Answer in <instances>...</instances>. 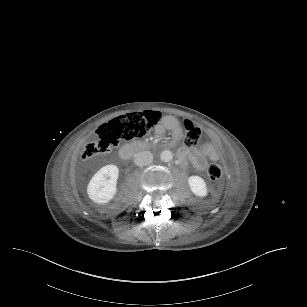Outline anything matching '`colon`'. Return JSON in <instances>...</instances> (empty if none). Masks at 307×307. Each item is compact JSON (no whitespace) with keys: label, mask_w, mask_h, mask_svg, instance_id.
<instances>
[{"label":"colon","mask_w":307,"mask_h":307,"mask_svg":"<svg viewBox=\"0 0 307 307\" xmlns=\"http://www.w3.org/2000/svg\"><path fill=\"white\" fill-rule=\"evenodd\" d=\"M162 114L158 111L131 113L116 117L102 124L97 132V139L90 141L83 149L81 158L90 160L96 155L107 153L110 148L121 141H132L143 137L159 122ZM183 142L186 146H195L201 136V128L188 119H183ZM210 180H219L222 169L217 163L207 168Z\"/></svg>","instance_id":"colon-1"}]
</instances>
